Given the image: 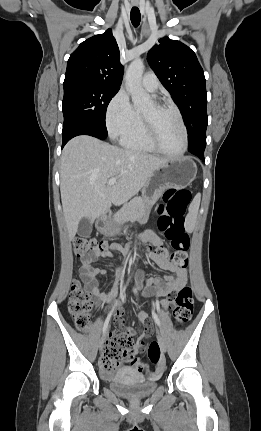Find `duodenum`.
<instances>
[{
	"label": "duodenum",
	"mask_w": 261,
	"mask_h": 431,
	"mask_svg": "<svg viewBox=\"0 0 261 431\" xmlns=\"http://www.w3.org/2000/svg\"><path fill=\"white\" fill-rule=\"evenodd\" d=\"M99 225L101 226V227H107V225H108V220L106 219V218H102V219H100V221H99Z\"/></svg>",
	"instance_id": "obj_1"
}]
</instances>
